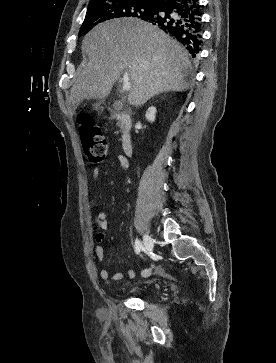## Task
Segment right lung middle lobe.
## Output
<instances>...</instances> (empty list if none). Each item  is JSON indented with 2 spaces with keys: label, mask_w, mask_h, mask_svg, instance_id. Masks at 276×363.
I'll return each mask as SVG.
<instances>
[{
  "label": "right lung middle lobe",
  "mask_w": 276,
  "mask_h": 363,
  "mask_svg": "<svg viewBox=\"0 0 276 363\" xmlns=\"http://www.w3.org/2000/svg\"><path fill=\"white\" fill-rule=\"evenodd\" d=\"M157 7L134 0H101L89 4L79 36L89 32L97 24L119 17L149 19L156 14Z\"/></svg>",
  "instance_id": "1"
}]
</instances>
